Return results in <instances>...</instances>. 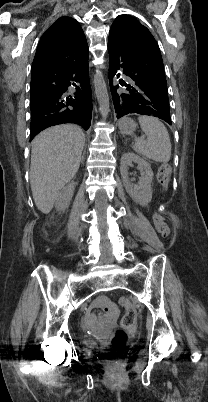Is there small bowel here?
Instances as JSON below:
<instances>
[{
	"mask_svg": "<svg viewBox=\"0 0 208 402\" xmlns=\"http://www.w3.org/2000/svg\"><path fill=\"white\" fill-rule=\"evenodd\" d=\"M102 300H107L108 303H103ZM95 307L100 308L103 312L99 314V321L96 315H88L85 328L87 330H94L96 327L98 330H107L110 324L115 321V307L107 298L105 293L99 295V299L95 302ZM98 321V322H97ZM97 323V324H96Z\"/></svg>",
	"mask_w": 208,
	"mask_h": 402,
	"instance_id": "obj_1",
	"label": "small bowel"
}]
</instances>
